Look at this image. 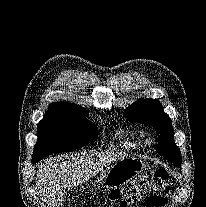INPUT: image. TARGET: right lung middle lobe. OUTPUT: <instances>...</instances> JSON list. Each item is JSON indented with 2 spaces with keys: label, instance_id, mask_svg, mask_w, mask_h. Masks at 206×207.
<instances>
[{
  "label": "right lung middle lobe",
  "instance_id": "right-lung-middle-lobe-1",
  "mask_svg": "<svg viewBox=\"0 0 206 207\" xmlns=\"http://www.w3.org/2000/svg\"><path fill=\"white\" fill-rule=\"evenodd\" d=\"M86 116V112L49 108L38 124V141L33 158L72 152L94 142L98 136V129L87 120Z\"/></svg>",
  "mask_w": 206,
  "mask_h": 207
}]
</instances>
